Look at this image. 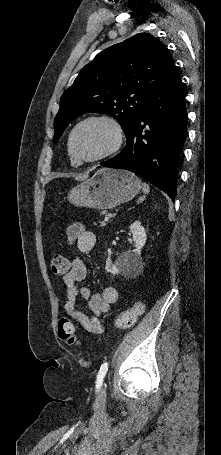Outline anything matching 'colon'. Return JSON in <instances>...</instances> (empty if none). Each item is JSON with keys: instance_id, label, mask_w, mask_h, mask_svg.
<instances>
[{"instance_id": "obj_1", "label": "colon", "mask_w": 221, "mask_h": 455, "mask_svg": "<svg viewBox=\"0 0 221 455\" xmlns=\"http://www.w3.org/2000/svg\"><path fill=\"white\" fill-rule=\"evenodd\" d=\"M51 270L55 275H66L70 270V261L61 255H54L50 261ZM145 306L142 302L134 303L129 309L121 312L114 320V326L119 329L133 327L138 318L144 313ZM59 338L68 345H78L79 339L71 320L61 317L58 322Z\"/></svg>"}]
</instances>
